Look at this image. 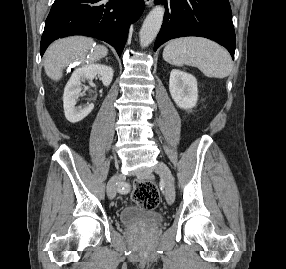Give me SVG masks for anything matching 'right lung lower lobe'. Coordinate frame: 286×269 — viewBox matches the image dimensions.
Instances as JSON below:
<instances>
[{"instance_id": "right-lung-lower-lobe-1", "label": "right lung lower lobe", "mask_w": 286, "mask_h": 269, "mask_svg": "<svg viewBox=\"0 0 286 269\" xmlns=\"http://www.w3.org/2000/svg\"><path fill=\"white\" fill-rule=\"evenodd\" d=\"M143 9V0H55L45 22L40 54L58 38L86 35L109 43L120 55L129 26Z\"/></svg>"}]
</instances>
